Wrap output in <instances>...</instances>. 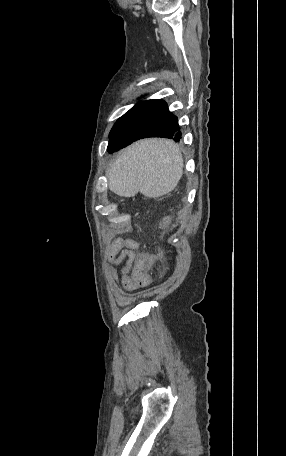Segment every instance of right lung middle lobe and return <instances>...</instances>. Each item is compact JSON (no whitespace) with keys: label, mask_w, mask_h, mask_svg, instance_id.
Wrapping results in <instances>:
<instances>
[{"label":"right lung middle lobe","mask_w":286,"mask_h":456,"mask_svg":"<svg viewBox=\"0 0 286 456\" xmlns=\"http://www.w3.org/2000/svg\"><path fill=\"white\" fill-rule=\"evenodd\" d=\"M122 118L123 117L117 120L110 132V139L107 147V151L109 153H112L121 144V142L126 139L127 133Z\"/></svg>","instance_id":"obj_1"}]
</instances>
